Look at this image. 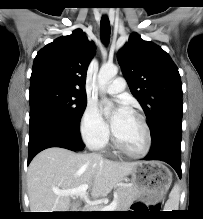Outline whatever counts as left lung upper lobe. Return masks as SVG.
<instances>
[{"label": "left lung upper lobe", "mask_w": 203, "mask_h": 219, "mask_svg": "<svg viewBox=\"0 0 203 219\" xmlns=\"http://www.w3.org/2000/svg\"><path fill=\"white\" fill-rule=\"evenodd\" d=\"M117 59L131 93L145 112L152 139L168 124L182 122L180 75L161 47L132 33Z\"/></svg>", "instance_id": "obj_1"}]
</instances>
